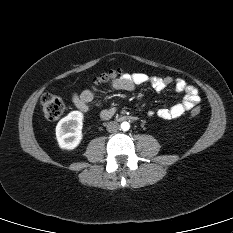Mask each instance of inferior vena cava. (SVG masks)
I'll use <instances>...</instances> for the list:
<instances>
[{
  "label": "inferior vena cava",
  "instance_id": "1",
  "mask_svg": "<svg viewBox=\"0 0 233 233\" xmlns=\"http://www.w3.org/2000/svg\"><path fill=\"white\" fill-rule=\"evenodd\" d=\"M119 128H120L119 124L115 121L108 122L106 124V129L110 133L117 132L119 130Z\"/></svg>",
  "mask_w": 233,
  "mask_h": 233
}]
</instances>
